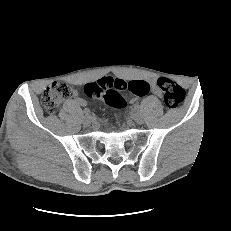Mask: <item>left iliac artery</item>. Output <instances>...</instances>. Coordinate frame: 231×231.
<instances>
[{
	"label": "left iliac artery",
	"instance_id": "left-iliac-artery-1",
	"mask_svg": "<svg viewBox=\"0 0 231 231\" xmlns=\"http://www.w3.org/2000/svg\"><path fill=\"white\" fill-rule=\"evenodd\" d=\"M133 111H134V112H139V111H140V106H139L138 104H135V105L133 106Z\"/></svg>",
	"mask_w": 231,
	"mask_h": 231
}]
</instances>
